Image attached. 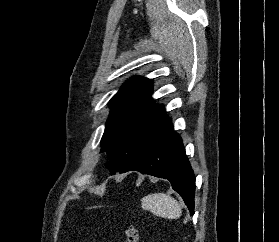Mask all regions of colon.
Returning <instances> with one entry per match:
<instances>
[{
	"label": "colon",
	"instance_id": "1",
	"mask_svg": "<svg viewBox=\"0 0 279 242\" xmlns=\"http://www.w3.org/2000/svg\"><path fill=\"white\" fill-rule=\"evenodd\" d=\"M124 236L127 242H138L139 233L135 226H126L123 229Z\"/></svg>",
	"mask_w": 279,
	"mask_h": 242
}]
</instances>
